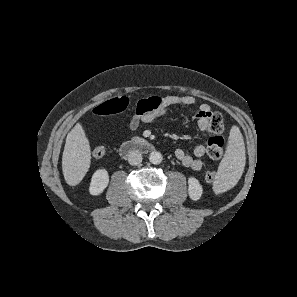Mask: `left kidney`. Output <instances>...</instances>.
Segmentation results:
<instances>
[{
	"instance_id": "1",
	"label": "left kidney",
	"mask_w": 297,
	"mask_h": 297,
	"mask_svg": "<svg viewBox=\"0 0 297 297\" xmlns=\"http://www.w3.org/2000/svg\"><path fill=\"white\" fill-rule=\"evenodd\" d=\"M188 193L192 200H198L203 194V188L198 179L190 177L188 179Z\"/></svg>"
}]
</instances>
